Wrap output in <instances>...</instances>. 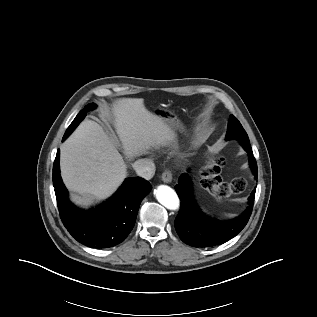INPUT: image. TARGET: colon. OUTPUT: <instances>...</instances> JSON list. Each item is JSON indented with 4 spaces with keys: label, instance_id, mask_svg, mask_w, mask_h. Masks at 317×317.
<instances>
[{
    "label": "colon",
    "instance_id": "obj_1",
    "mask_svg": "<svg viewBox=\"0 0 317 317\" xmlns=\"http://www.w3.org/2000/svg\"><path fill=\"white\" fill-rule=\"evenodd\" d=\"M223 164L224 159L217 157L211 160L202 171V186L220 200L230 195L239 194L246 187V180L244 178H235L230 182L222 181L220 169Z\"/></svg>",
    "mask_w": 317,
    "mask_h": 317
}]
</instances>
